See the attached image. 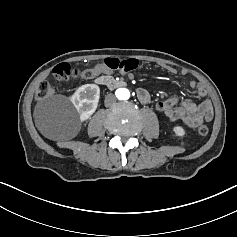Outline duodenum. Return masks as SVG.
Returning a JSON list of instances; mask_svg holds the SVG:
<instances>
[{"instance_id":"410a0bca","label":"duodenum","mask_w":237,"mask_h":237,"mask_svg":"<svg viewBox=\"0 0 237 237\" xmlns=\"http://www.w3.org/2000/svg\"><path fill=\"white\" fill-rule=\"evenodd\" d=\"M95 83L97 85L107 87L110 89L120 88L126 86V82L120 79H115L107 75H99L95 78Z\"/></svg>"}]
</instances>
